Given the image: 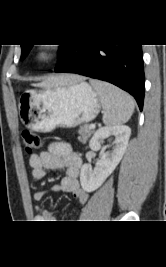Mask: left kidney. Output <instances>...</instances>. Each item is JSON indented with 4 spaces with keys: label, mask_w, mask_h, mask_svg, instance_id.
Masks as SVG:
<instances>
[{
    "label": "left kidney",
    "mask_w": 166,
    "mask_h": 267,
    "mask_svg": "<svg viewBox=\"0 0 166 267\" xmlns=\"http://www.w3.org/2000/svg\"><path fill=\"white\" fill-rule=\"evenodd\" d=\"M130 134L131 129L125 125L102 127L95 132L89 147L93 151L101 150V153L94 169L88 164H84L81 168L80 183L83 190L93 192L115 170L126 151ZM111 136L115 137L112 150L104 152L108 146H103V141Z\"/></svg>",
    "instance_id": "5707ae66"
}]
</instances>
